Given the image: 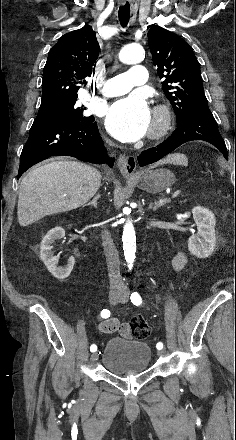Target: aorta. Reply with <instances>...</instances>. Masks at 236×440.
Wrapping results in <instances>:
<instances>
[{"instance_id":"762f6f07","label":"aorta","mask_w":236,"mask_h":440,"mask_svg":"<svg viewBox=\"0 0 236 440\" xmlns=\"http://www.w3.org/2000/svg\"><path fill=\"white\" fill-rule=\"evenodd\" d=\"M145 58V51L142 46L133 44L125 46L119 53V59L125 64L140 63ZM123 250L129 269H132L136 253V235L132 221L128 218L123 228Z\"/></svg>"}]
</instances>
